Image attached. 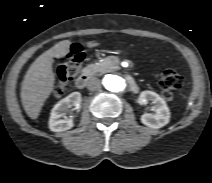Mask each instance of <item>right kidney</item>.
<instances>
[{
    "instance_id": "right-kidney-1",
    "label": "right kidney",
    "mask_w": 212,
    "mask_h": 183,
    "mask_svg": "<svg viewBox=\"0 0 212 183\" xmlns=\"http://www.w3.org/2000/svg\"><path fill=\"white\" fill-rule=\"evenodd\" d=\"M81 100V94L79 92H73L60 100L51 111L49 129L53 132H62L71 129L74 126V121L66 116L68 108L74 106L75 109H79Z\"/></svg>"
}]
</instances>
